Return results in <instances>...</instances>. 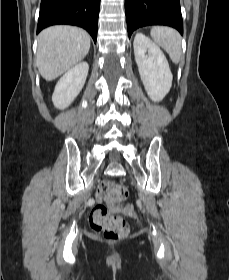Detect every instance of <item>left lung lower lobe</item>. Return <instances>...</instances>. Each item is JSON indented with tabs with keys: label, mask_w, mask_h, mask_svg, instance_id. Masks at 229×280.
Segmentation results:
<instances>
[{
	"label": "left lung lower lobe",
	"mask_w": 229,
	"mask_h": 280,
	"mask_svg": "<svg viewBox=\"0 0 229 280\" xmlns=\"http://www.w3.org/2000/svg\"><path fill=\"white\" fill-rule=\"evenodd\" d=\"M125 12L129 38L147 25H167L183 34L179 0H125Z\"/></svg>",
	"instance_id": "0a47b994"
}]
</instances>
